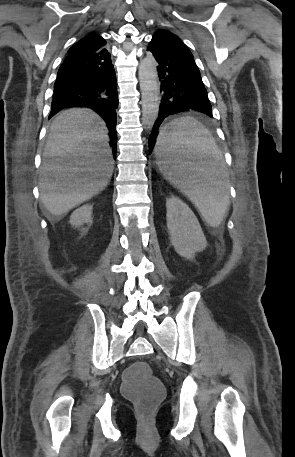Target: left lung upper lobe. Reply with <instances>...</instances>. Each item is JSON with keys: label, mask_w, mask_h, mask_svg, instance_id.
Here are the masks:
<instances>
[{"label": "left lung upper lobe", "mask_w": 295, "mask_h": 457, "mask_svg": "<svg viewBox=\"0 0 295 457\" xmlns=\"http://www.w3.org/2000/svg\"><path fill=\"white\" fill-rule=\"evenodd\" d=\"M153 39L159 40L180 52L193 58V55L189 48L183 43V41L175 34L167 30H157L153 34Z\"/></svg>", "instance_id": "left-lung-upper-lobe-1"}]
</instances>
